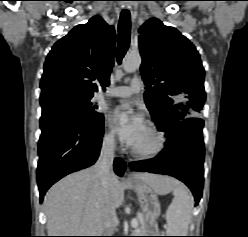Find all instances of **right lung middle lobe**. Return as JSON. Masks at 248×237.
I'll return each mask as SVG.
<instances>
[{
  "mask_svg": "<svg viewBox=\"0 0 248 237\" xmlns=\"http://www.w3.org/2000/svg\"><path fill=\"white\" fill-rule=\"evenodd\" d=\"M42 116L62 115L70 116L83 121L99 120L103 115L97 112L96 105L91 99H79L73 97H58L41 104Z\"/></svg>",
  "mask_w": 248,
  "mask_h": 237,
  "instance_id": "right-lung-middle-lobe-1",
  "label": "right lung middle lobe"
}]
</instances>
